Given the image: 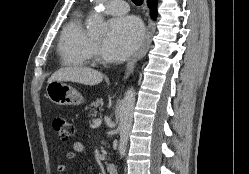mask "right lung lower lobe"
I'll return each mask as SVG.
<instances>
[{"mask_svg": "<svg viewBox=\"0 0 249 174\" xmlns=\"http://www.w3.org/2000/svg\"><path fill=\"white\" fill-rule=\"evenodd\" d=\"M148 5L151 8L152 16H156V0H148Z\"/></svg>", "mask_w": 249, "mask_h": 174, "instance_id": "1", "label": "right lung lower lobe"}]
</instances>
